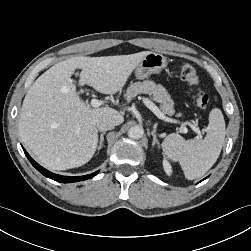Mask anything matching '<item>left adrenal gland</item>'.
<instances>
[{
    "mask_svg": "<svg viewBox=\"0 0 251 251\" xmlns=\"http://www.w3.org/2000/svg\"><path fill=\"white\" fill-rule=\"evenodd\" d=\"M151 135H152V137H153L152 146H154L155 144H157V145H158V147H159V142H158V139H157V135H156V133H155V131H154V130H153V131H151Z\"/></svg>",
    "mask_w": 251,
    "mask_h": 251,
    "instance_id": "left-adrenal-gland-1",
    "label": "left adrenal gland"
}]
</instances>
